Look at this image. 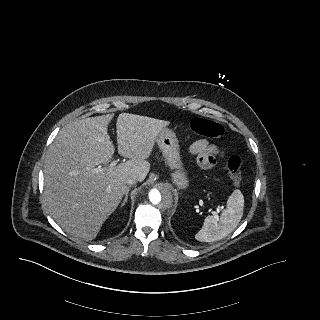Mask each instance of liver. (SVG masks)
Returning <instances> with one entry per match:
<instances>
[{"mask_svg": "<svg viewBox=\"0 0 320 320\" xmlns=\"http://www.w3.org/2000/svg\"><path fill=\"white\" fill-rule=\"evenodd\" d=\"M113 114L76 119L63 127L50 146L44 165V202L52 218L68 234L93 240L127 191L126 179L143 181L159 132L170 124L130 113L117 118L118 153L129 160L107 165L115 147L108 125Z\"/></svg>", "mask_w": 320, "mask_h": 320, "instance_id": "1", "label": "liver"}]
</instances>
